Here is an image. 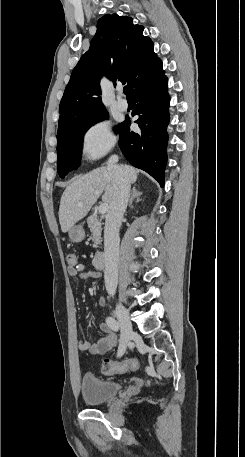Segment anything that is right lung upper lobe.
I'll use <instances>...</instances> for the list:
<instances>
[{
	"label": "right lung upper lobe",
	"instance_id": "obj_1",
	"mask_svg": "<svg viewBox=\"0 0 245 457\" xmlns=\"http://www.w3.org/2000/svg\"><path fill=\"white\" fill-rule=\"evenodd\" d=\"M143 30L127 16L105 15L98 20L90 49L73 69L61 99L58 128L105 109L100 97L103 75L126 82L131 91L162 68Z\"/></svg>",
	"mask_w": 245,
	"mask_h": 457
}]
</instances>
